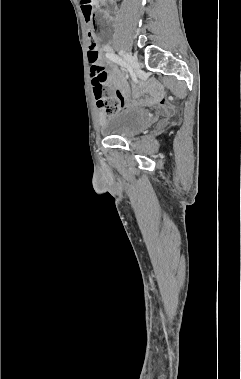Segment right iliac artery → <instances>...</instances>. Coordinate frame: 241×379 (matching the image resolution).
I'll return each mask as SVG.
<instances>
[{"label": "right iliac artery", "instance_id": "82829eb1", "mask_svg": "<svg viewBox=\"0 0 241 379\" xmlns=\"http://www.w3.org/2000/svg\"><path fill=\"white\" fill-rule=\"evenodd\" d=\"M106 57L108 59H110L111 61L119 64L120 66L124 67V68L127 67L126 62L122 58H120L119 56H117L116 54H114L113 52H107L106 53Z\"/></svg>", "mask_w": 241, "mask_h": 379}]
</instances>
